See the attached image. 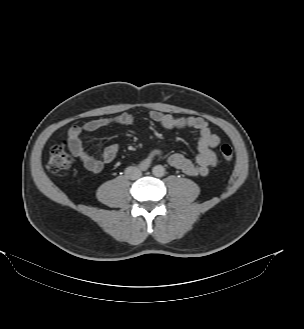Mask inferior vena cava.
<instances>
[{"mask_svg": "<svg viewBox=\"0 0 304 329\" xmlns=\"http://www.w3.org/2000/svg\"><path fill=\"white\" fill-rule=\"evenodd\" d=\"M125 175L128 179L136 180L141 177V170L137 167H128L125 170Z\"/></svg>", "mask_w": 304, "mask_h": 329, "instance_id": "1", "label": "inferior vena cava"}]
</instances>
